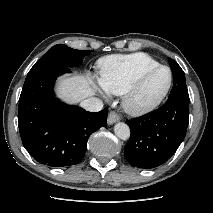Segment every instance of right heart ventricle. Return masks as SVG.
Here are the masks:
<instances>
[{
    "instance_id": "1",
    "label": "right heart ventricle",
    "mask_w": 213,
    "mask_h": 213,
    "mask_svg": "<svg viewBox=\"0 0 213 213\" xmlns=\"http://www.w3.org/2000/svg\"><path fill=\"white\" fill-rule=\"evenodd\" d=\"M99 65L100 82L104 90L122 95L143 72L159 63L145 53H134L103 58Z\"/></svg>"
}]
</instances>
